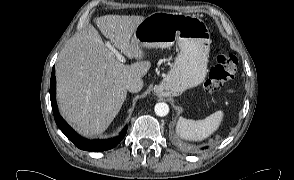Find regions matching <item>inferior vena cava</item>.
Wrapping results in <instances>:
<instances>
[{
  "mask_svg": "<svg viewBox=\"0 0 294 180\" xmlns=\"http://www.w3.org/2000/svg\"><path fill=\"white\" fill-rule=\"evenodd\" d=\"M143 88V81L141 78H132L126 84V89L131 93H137Z\"/></svg>",
  "mask_w": 294,
  "mask_h": 180,
  "instance_id": "obj_1",
  "label": "inferior vena cava"
}]
</instances>
